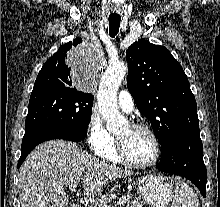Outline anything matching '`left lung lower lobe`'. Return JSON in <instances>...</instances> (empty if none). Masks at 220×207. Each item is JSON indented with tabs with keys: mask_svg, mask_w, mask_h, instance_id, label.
I'll return each instance as SVG.
<instances>
[{
	"mask_svg": "<svg viewBox=\"0 0 220 207\" xmlns=\"http://www.w3.org/2000/svg\"><path fill=\"white\" fill-rule=\"evenodd\" d=\"M161 160L157 168L161 171L189 179L206 195L207 172L203 161V145L198 127L178 132L162 146Z\"/></svg>",
	"mask_w": 220,
	"mask_h": 207,
	"instance_id": "0a47b994",
	"label": "left lung lower lobe"
}]
</instances>
